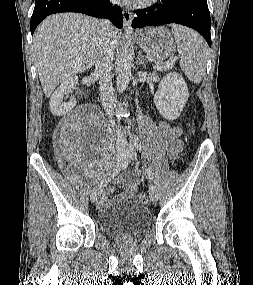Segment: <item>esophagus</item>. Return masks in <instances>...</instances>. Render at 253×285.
Listing matches in <instances>:
<instances>
[{
	"label": "esophagus",
	"instance_id": "34e87169",
	"mask_svg": "<svg viewBox=\"0 0 253 285\" xmlns=\"http://www.w3.org/2000/svg\"><path fill=\"white\" fill-rule=\"evenodd\" d=\"M133 14L129 9L123 10V25L126 31L132 30Z\"/></svg>",
	"mask_w": 253,
	"mask_h": 285
}]
</instances>
